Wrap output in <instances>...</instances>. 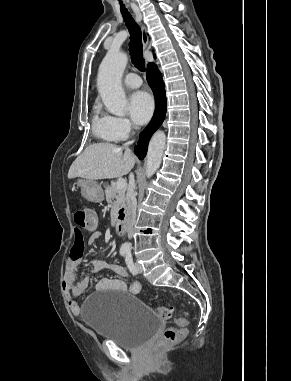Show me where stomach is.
<instances>
[{"instance_id":"0dacf381","label":"stomach","mask_w":291,"mask_h":381,"mask_svg":"<svg viewBox=\"0 0 291 381\" xmlns=\"http://www.w3.org/2000/svg\"><path fill=\"white\" fill-rule=\"evenodd\" d=\"M81 193L88 201L99 203L104 200L101 186L94 180L82 179L78 181Z\"/></svg>"}]
</instances>
